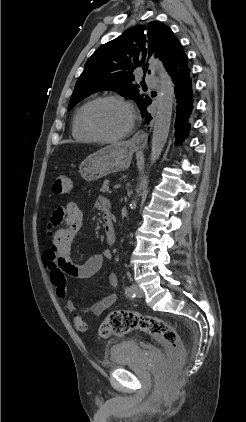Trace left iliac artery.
I'll list each match as a JSON object with an SVG mask.
<instances>
[{
    "instance_id": "44dca946",
    "label": "left iliac artery",
    "mask_w": 246,
    "mask_h": 422,
    "mask_svg": "<svg viewBox=\"0 0 246 422\" xmlns=\"http://www.w3.org/2000/svg\"><path fill=\"white\" fill-rule=\"evenodd\" d=\"M125 293L129 298H134L136 296L135 292L133 291L132 287H125Z\"/></svg>"
}]
</instances>
